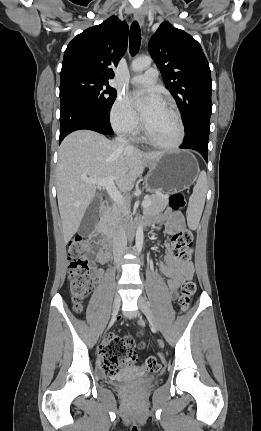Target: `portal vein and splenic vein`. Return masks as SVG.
Listing matches in <instances>:
<instances>
[{
	"label": "portal vein and splenic vein",
	"instance_id": "obj_1",
	"mask_svg": "<svg viewBox=\"0 0 261 431\" xmlns=\"http://www.w3.org/2000/svg\"><path fill=\"white\" fill-rule=\"evenodd\" d=\"M87 183L95 184L98 187H105L109 196L118 204L124 205V198L121 196L116 186L114 185V177L110 176L103 179H86ZM151 205L149 200L142 202V207L146 208Z\"/></svg>",
	"mask_w": 261,
	"mask_h": 431
}]
</instances>
